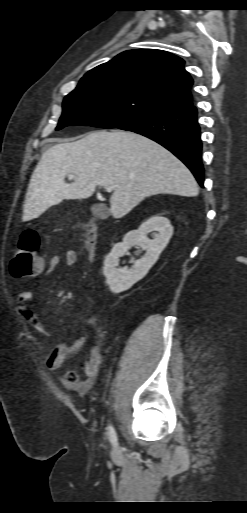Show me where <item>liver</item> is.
I'll use <instances>...</instances> for the list:
<instances>
[{"instance_id":"1","label":"liver","mask_w":247,"mask_h":513,"mask_svg":"<svg viewBox=\"0 0 247 513\" xmlns=\"http://www.w3.org/2000/svg\"><path fill=\"white\" fill-rule=\"evenodd\" d=\"M69 174L73 183L64 181ZM108 185L114 186L110 211L116 219L149 196L198 195L190 170L166 148L134 132L101 130L42 155L26 193L25 216L39 217L63 199H86Z\"/></svg>"}]
</instances>
